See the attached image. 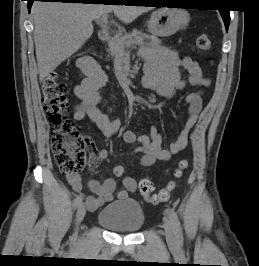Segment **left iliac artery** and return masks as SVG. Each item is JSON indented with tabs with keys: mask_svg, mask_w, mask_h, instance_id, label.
<instances>
[{
	"mask_svg": "<svg viewBox=\"0 0 259 266\" xmlns=\"http://www.w3.org/2000/svg\"><path fill=\"white\" fill-rule=\"evenodd\" d=\"M167 211H168L169 218L172 221V223L175 227V230H176L177 242L179 245H182V243H183V231H182V227H181L180 221L178 219V216L173 209H168Z\"/></svg>",
	"mask_w": 259,
	"mask_h": 266,
	"instance_id": "obj_1",
	"label": "left iliac artery"
}]
</instances>
